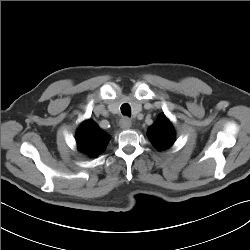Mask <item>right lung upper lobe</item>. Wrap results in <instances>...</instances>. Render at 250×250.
<instances>
[{"instance_id": "cb5924a9", "label": "right lung upper lobe", "mask_w": 250, "mask_h": 250, "mask_svg": "<svg viewBox=\"0 0 250 250\" xmlns=\"http://www.w3.org/2000/svg\"><path fill=\"white\" fill-rule=\"evenodd\" d=\"M76 140L78 148L93 157L106 148L109 136L92 120H87L80 126Z\"/></svg>"}]
</instances>
